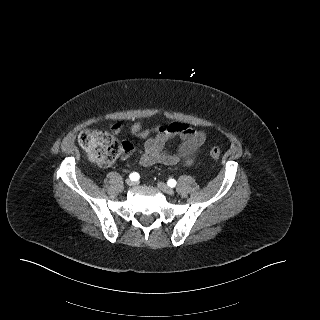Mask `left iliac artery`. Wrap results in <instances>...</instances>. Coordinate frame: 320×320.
<instances>
[{
    "label": "left iliac artery",
    "instance_id": "left-iliac-artery-1",
    "mask_svg": "<svg viewBox=\"0 0 320 320\" xmlns=\"http://www.w3.org/2000/svg\"><path fill=\"white\" fill-rule=\"evenodd\" d=\"M167 183L170 187H175L176 185V181L174 179H169Z\"/></svg>",
    "mask_w": 320,
    "mask_h": 320
}]
</instances>
